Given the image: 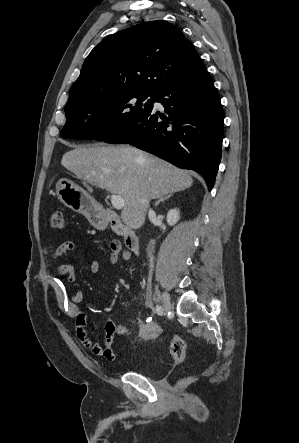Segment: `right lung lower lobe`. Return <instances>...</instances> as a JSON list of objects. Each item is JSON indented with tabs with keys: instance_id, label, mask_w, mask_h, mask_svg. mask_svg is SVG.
I'll return each mask as SVG.
<instances>
[{
	"instance_id": "right-lung-lower-lobe-1",
	"label": "right lung lower lobe",
	"mask_w": 299,
	"mask_h": 443,
	"mask_svg": "<svg viewBox=\"0 0 299 443\" xmlns=\"http://www.w3.org/2000/svg\"><path fill=\"white\" fill-rule=\"evenodd\" d=\"M153 108L104 140L130 144L176 166L199 172L211 190L221 158L223 111L207 70L174 81L155 93Z\"/></svg>"
}]
</instances>
